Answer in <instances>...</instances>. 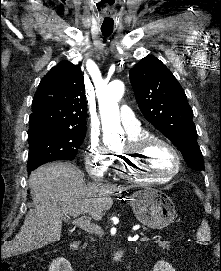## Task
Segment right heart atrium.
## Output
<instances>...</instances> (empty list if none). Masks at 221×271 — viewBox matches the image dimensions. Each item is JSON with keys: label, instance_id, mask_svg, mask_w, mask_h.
I'll use <instances>...</instances> for the list:
<instances>
[{"label": "right heart atrium", "instance_id": "right-heart-atrium-1", "mask_svg": "<svg viewBox=\"0 0 221 271\" xmlns=\"http://www.w3.org/2000/svg\"><path fill=\"white\" fill-rule=\"evenodd\" d=\"M87 167H91L95 173L101 177L102 173H107L109 167H112V159H115V154H109V151H99V146H88Z\"/></svg>", "mask_w": 221, "mask_h": 271}]
</instances>
